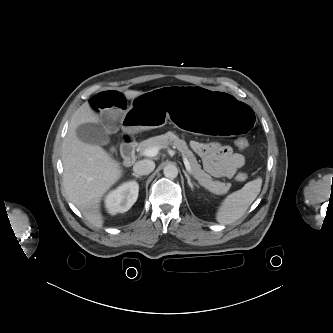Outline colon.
I'll list each match as a JSON object with an SVG mask.
<instances>
[{"label": "colon", "instance_id": "colon-1", "mask_svg": "<svg viewBox=\"0 0 333 333\" xmlns=\"http://www.w3.org/2000/svg\"><path fill=\"white\" fill-rule=\"evenodd\" d=\"M236 146L240 149H245L248 146V141L245 138H238L236 140ZM236 179L240 182L245 181L247 179V174L246 173H238L236 176Z\"/></svg>", "mask_w": 333, "mask_h": 333}]
</instances>
